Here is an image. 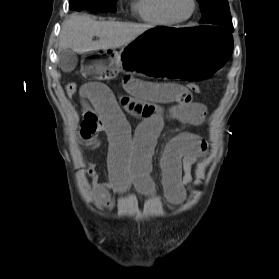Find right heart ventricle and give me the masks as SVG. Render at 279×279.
<instances>
[{"label":"right heart ventricle","instance_id":"e07e8e85","mask_svg":"<svg viewBox=\"0 0 279 279\" xmlns=\"http://www.w3.org/2000/svg\"><path fill=\"white\" fill-rule=\"evenodd\" d=\"M162 0H134L133 9L138 17L149 24L168 26L176 23L164 11Z\"/></svg>","mask_w":279,"mask_h":279}]
</instances>
